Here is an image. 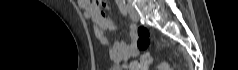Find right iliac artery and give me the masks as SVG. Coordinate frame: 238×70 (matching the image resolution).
Listing matches in <instances>:
<instances>
[{"instance_id": "82829eb1", "label": "right iliac artery", "mask_w": 238, "mask_h": 70, "mask_svg": "<svg viewBox=\"0 0 238 70\" xmlns=\"http://www.w3.org/2000/svg\"><path fill=\"white\" fill-rule=\"evenodd\" d=\"M117 5H118L119 10L121 11V13L123 15H127V7L125 5V1L124 0H117Z\"/></svg>"}]
</instances>
